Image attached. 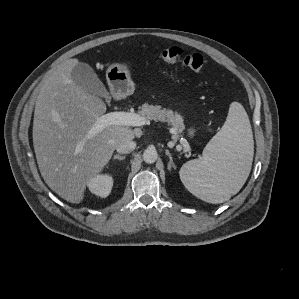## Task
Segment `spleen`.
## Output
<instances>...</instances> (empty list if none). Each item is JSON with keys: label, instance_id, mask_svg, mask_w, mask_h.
Here are the masks:
<instances>
[{"label": "spleen", "instance_id": "spleen-1", "mask_svg": "<svg viewBox=\"0 0 299 299\" xmlns=\"http://www.w3.org/2000/svg\"><path fill=\"white\" fill-rule=\"evenodd\" d=\"M254 142L244 107L233 102L221 130L209 141L201 158L186 162L179 175L197 198L218 204L245 184L253 161Z\"/></svg>", "mask_w": 299, "mask_h": 299}]
</instances>
